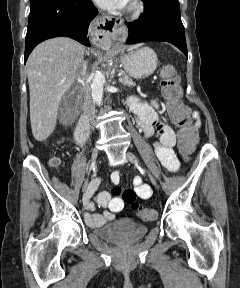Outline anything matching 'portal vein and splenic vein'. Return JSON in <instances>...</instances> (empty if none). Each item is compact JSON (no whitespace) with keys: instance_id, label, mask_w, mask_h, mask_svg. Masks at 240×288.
Masks as SVG:
<instances>
[{"instance_id":"1","label":"portal vein and splenic vein","mask_w":240,"mask_h":288,"mask_svg":"<svg viewBox=\"0 0 240 288\" xmlns=\"http://www.w3.org/2000/svg\"><path fill=\"white\" fill-rule=\"evenodd\" d=\"M118 75H119V76H121L122 74H121V73H119ZM62 82H64V80H62Z\"/></svg>"}]
</instances>
